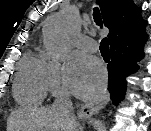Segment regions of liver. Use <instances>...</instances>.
<instances>
[{"label":"liver","mask_w":151,"mask_h":131,"mask_svg":"<svg viewBox=\"0 0 151 131\" xmlns=\"http://www.w3.org/2000/svg\"><path fill=\"white\" fill-rule=\"evenodd\" d=\"M65 114L54 106L32 107L13 112L7 131H71ZM77 131V127L74 128Z\"/></svg>","instance_id":"1"}]
</instances>
